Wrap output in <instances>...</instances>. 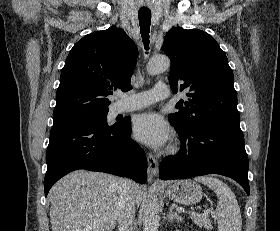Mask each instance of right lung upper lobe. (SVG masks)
I'll list each match as a JSON object with an SVG mask.
<instances>
[{
  "mask_svg": "<svg viewBox=\"0 0 280 231\" xmlns=\"http://www.w3.org/2000/svg\"><path fill=\"white\" fill-rule=\"evenodd\" d=\"M138 49L115 26L84 36L71 49L60 76L54 125L108 113L107 98L132 89Z\"/></svg>",
  "mask_w": 280,
  "mask_h": 231,
  "instance_id": "obj_1",
  "label": "right lung upper lobe"
}]
</instances>
